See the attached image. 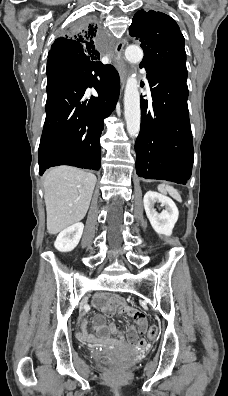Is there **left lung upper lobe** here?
<instances>
[{
  "label": "left lung upper lobe",
  "mask_w": 228,
  "mask_h": 396,
  "mask_svg": "<svg viewBox=\"0 0 228 396\" xmlns=\"http://www.w3.org/2000/svg\"><path fill=\"white\" fill-rule=\"evenodd\" d=\"M129 34L137 38L144 51L141 68L166 70L187 81L184 37L170 16L140 10L133 17Z\"/></svg>",
  "instance_id": "left-lung-upper-lobe-1"
}]
</instances>
